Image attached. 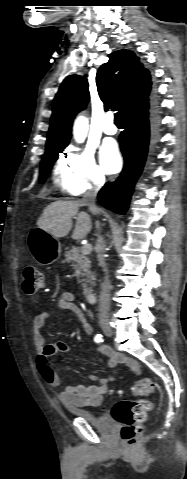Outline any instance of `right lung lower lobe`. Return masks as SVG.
<instances>
[{"label": "right lung lower lobe", "instance_id": "obj_1", "mask_svg": "<svg viewBox=\"0 0 187 479\" xmlns=\"http://www.w3.org/2000/svg\"><path fill=\"white\" fill-rule=\"evenodd\" d=\"M158 104L154 96L141 108L125 115L126 129L120 135L124 168L114 182H108L98 194L99 202L117 214H124L131 199L134 185L146 160L151 134L159 127Z\"/></svg>", "mask_w": 187, "mask_h": 479}]
</instances>
